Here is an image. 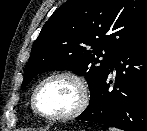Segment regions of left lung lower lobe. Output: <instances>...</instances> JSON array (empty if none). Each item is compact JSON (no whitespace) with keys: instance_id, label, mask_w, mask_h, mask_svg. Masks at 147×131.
Wrapping results in <instances>:
<instances>
[{"instance_id":"1","label":"left lung lower lobe","mask_w":147,"mask_h":131,"mask_svg":"<svg viewBox=\"0 0 147 131\" xmlns=\"http://www.w3.org/2000/svg\"><path fill=\"white\" fill-rule=\"evenodd\" d=\"M113 68L117 71L115 87L109 90ZM76 119L124 131H147V33L119 52L98 92Z\"/></svg>"}]
</instances>
